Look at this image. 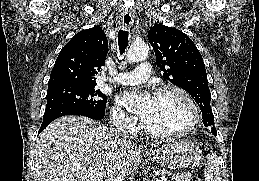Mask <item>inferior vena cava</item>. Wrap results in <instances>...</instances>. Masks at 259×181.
<instances>
[{
    "label": "inferior vena cava",
    "instance_id": "obj_1",
    "mask_svg": "<svg viewBox=\"0 0 259 181\" xmlns=\"http://www.w3.org/2000/svg\"><path fill=\"white\" fill-rule=\"evenodd\" d=\"M115 126L117 128V132L118 134L120 135V137L125 140V141H128L129 140V135L127 134V131H126V128H125V125L122 121H117L115 123ZM123 178L122 176L118 173V172H112L110 174V176L108 177L107 181H122Z\"/></svg>",
    "mask_w": 259,
    "mask_h": 181
}]
</instances>
